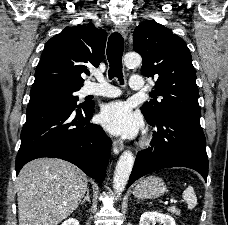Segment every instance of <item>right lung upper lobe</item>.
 Returning a JSON list of instances; mask_svg holds the SVG:
<instances>
[{
	"label": "right lung upper lobe",
	"mask_w": 228,
	"mask_h": 225,
	"mask_svg": "<svg viewBox=\"0 0 228 225\" xmlns=\"http://www.w3.org/2000/svg\"><path fill=\"white\" fill-rule=\"evenodd\" d=\"M106 39V32L93 22L64 28L45 44L33 86L61 83L81 88V73L88 71L87 66L98 67L104 60Z\"/></svg>",
	"instance_id": "right-lung-upper-lobe-1"
}]
</instances>
